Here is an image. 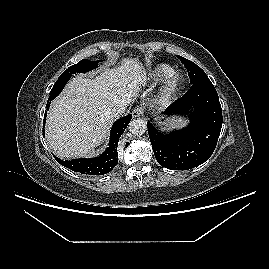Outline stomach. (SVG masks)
<instances>
[{
	"instance_id": "stomach-1",
	"label": "stomach",
	"mask_w": 269,
	"mask_h": 269,
	"mask_svg": "<svg viewBox=\"0 0 269 269\" xmlns=\"http://www.w3.org/2000/svg\"><path fill=\"white\" fill-rule=\"evenodd\" d=\"M179 123H180L179 121H178V122H176V124H178V125H179Z\"/></svg>"
}]
</instances>
